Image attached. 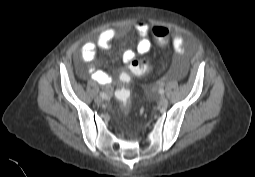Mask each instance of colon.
Instances as JSON below:
<instances>
[{
	"instance_id": "colon-1",
	"label": "colon",
	"mask_w": 255,
	"mask_h": 177,
	"mask_svg": "<svg viewBox=\"0 0 255 177\" xmlns=\"http://www.w3.org/2000/svg\"><path fill=\"white\" fill-rule=\"evenodd\" d=\"M153 36L156 39V45L160 49H165L169 45V30L163 26H155L152 30ZM150 69V62L148 60H134L132 61L127 70L120 76L121 82L125 85L116 91V98L124 105L127 106L130 100V90L126 86L131 80V75H140L146 73Z\"/></svg>"
}]
</instances>
